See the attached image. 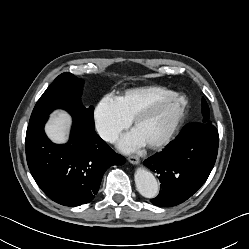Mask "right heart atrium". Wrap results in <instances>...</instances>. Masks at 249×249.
<instances>
[{"instance_id": "1", "label": "right heart atrium", "mask_w": 249, "mask_h": 249, "mask_svg": "<svg viewBox=\"0 0 249 249\" xmlns=\"http://www.w3.org/2000/svg\"><path fill=\"white\" fill-rule=\"evenodd\" d=\"M94 124L99 136L106 142H114L130 121L121 111L115 97L105 96L94 110Z\"/></svg>"}]
</instances>
